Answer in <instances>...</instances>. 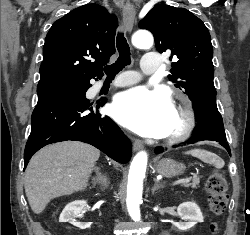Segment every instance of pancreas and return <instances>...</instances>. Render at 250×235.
<instances>
[{"mask_svg": "<svg viewBox=\"0 0 250 235\" xmlns=\"http://www.w3.org/2000/svg\"><path fill=\"white\" fill-rule=\"evenodd\" d=\"M200 178L199 177H195L193 182L190 184H185V187H192V188H197L198 184H199Z\"/></svg>", "mask_w": 250, "mask_h": 235, "instance_id": "cf45deb5", "label": "pancreas"}]
</instances>
